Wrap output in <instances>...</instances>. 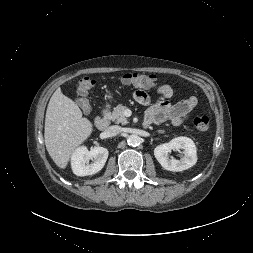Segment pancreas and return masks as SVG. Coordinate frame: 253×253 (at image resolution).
Returning <instances> with one entry per match:
<instances>
[{
  "label": "pancreas",
  "instance_id": "cf45deb5",
  "mask_svg": "<svg viewBox=\"0 0 253 253\" xmlns=\"http://www.w3.org/2000/svg\"><path fill=\"white\" fill-rule=\"evenodd\" d=\"M126 106L119 104L117 105L112 113H109L107 115V118L115 121L116 123H121V124H127L128 120L127 118L124 116V111L126 110Z\"/></svg>",
  "mask_w": 253,
  "mask_h": 253
}]
</instances>
